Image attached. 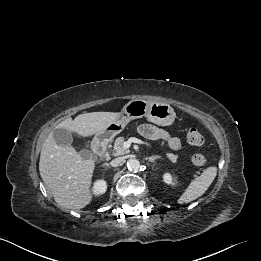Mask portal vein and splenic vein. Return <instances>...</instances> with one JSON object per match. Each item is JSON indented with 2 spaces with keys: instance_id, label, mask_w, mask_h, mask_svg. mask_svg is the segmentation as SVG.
<instances>
[{
  "instance_id": "portal-vein-and-splenic-vein-1",
  "label": "portal vein and splenic vein",
  "mask_w": 261,
  "mask_h": 261,
  "mask_svg": "<svg viewBox=\"0 0 261 261\" xmlns=\"http://www.w3.org/2000/svg\"><path fill=\"white\" fill-rule=\"evenodd\" d=\"M131 143L146 144L147 146H149L148 143H144V142L141 141L140 139H137V138L132 137V138H129L127 141H125V142L123 143V148H124L125 150H127V149L130 147ZM195 174H196V175L199 174V171H196Z\"/></svg>"
}]
</instances>
